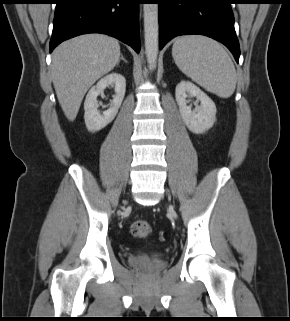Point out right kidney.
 Instances as JSON below:
<instances>
[{"instance_id":"1","label":"right kidney","mask_w":290,"mask_h":321,"mask_svg":"<svg viewBox=\"0 0 290 321\" xmlns=\"http://www.w3.org/2000/svg\"><path fill=\"white\" fill-rule=\"evenodd\" d=\"M109 85H114L115 95L111 101L110 108L101 114L98 110L97 97L103 94L104 89ZM125 91L126 80L124 76L114 72L100 79L97 84L89 90L84 102V119L89 131H99L113 121L121 106Z\"/></svg>"}]
</instances>
